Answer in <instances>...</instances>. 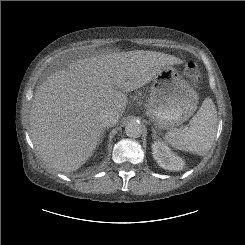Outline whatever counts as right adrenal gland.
<instances>
[{"instance_id":"1","label":"right adrenal gland","mask_w":245,"mask_h":245,"mask_svg":"<svg viewBox=\"0 0 245 245\" xmlns=\"http://www.w3.org/2000/svg\"><path fill=\"white\" fill-rule=\"evenodd\" d=\"M104 132H105V129H103V131H102L101 138H100V143H101V142H102V140H103V137H104Z\"/></svg>"}]
</instances>
